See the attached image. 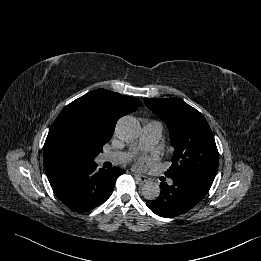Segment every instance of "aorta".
I'll list each match as a JSON object with an SVG mask.
<instances>
[{"mask_svg":"<svg viewBox=\"0 0 261 261\" xmlns=\"http://www.w3.org/2000/svg\"><path fill=\"white\" fill-rule=\"evenodd\" d=\"M141 132L139 121L132 116L122 117L116 126L117 136L125 142L135 141ZM142 195L147 200H155L160 194L159 186L154 182H146L142 186Z\"/></svg>","mask_w":261,"mask_h":261,"instance_id":"762f6f07","label":"aorta"}]
</instances>
